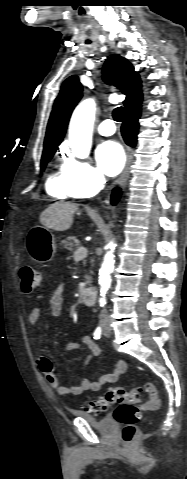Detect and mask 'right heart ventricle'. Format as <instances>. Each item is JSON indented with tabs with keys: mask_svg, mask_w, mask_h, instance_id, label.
Segmentation results:
<instances>
[{
	"mask_svg": "<svg viewBox=\"0 0 187 479\" xmlns=\"http://www.w3.org/2000/svg\"><path fill=\"white\" fill-rule=\"evenodd\" d=\"M46 191L50 196L61 200L74 197L66 184L62 172H52L48 175Z\"/></svg>",
	"mask_w": 187,
	"mask_h": 479,
	"instance_id": "obj_1",
	"label": "right heart ventricle"
}]
</instances>
